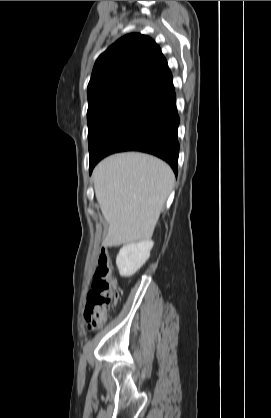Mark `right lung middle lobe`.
<instances>
[{
	"mask_svg": "<svg viewBox=\"0 0 271 418\" xmlns=\"http://www.w3.org/2000/svg\"><path fill=\"white\" fill-rule=\"evenodd\" d=\"M152 103L132 96L115 97L88 106L90 164L106 143Z\"/></svg>",
	"mask_w": 271,
	"mask_h": 418,
	"instance_id": "obj_1",
	"label": "right lung middle lobe"
}]
</instances>
